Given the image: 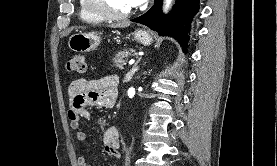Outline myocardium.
Segmentation results:
<instances>
[{
	"label": "myocardium",
	"mask_w": 277,
	"mask_h": 166,
	"mask_svg": "<svg viewBox=\"0 0 277 166\" xmlns=\"http://www.w3.org/2000/svg\"><path fill=\"white\" fill-rule=\"evenodd\" d=\"M84 7L91 14L108 21H120L129 18L134 10L131 9L125 13H112L103 8L96 0H83Z\"/></svg>",
	"instance_id": "f54148a6"
}]
</instances>
